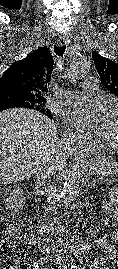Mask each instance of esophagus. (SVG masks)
<instances>
[{
  "label": "esophagus",
  "mask_w": 118,
  "mask_h": 269,
  "mask_svg": "<svg viewBox=\"0 0 118 269\" xmlns=\"http://www.w3.org/2000/svg\"><path fill=\"white\" fill-rule=\"evenodd\" d=\"M68 43V39L66 37H60L57 40V44L59 46H63ZM86 159V155L82 152H76L73 156V161L76 163L82 162Z\"/></svg>",
  "instance_id": "34e87169"
}]
</instances>
